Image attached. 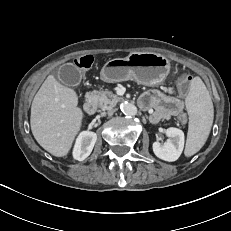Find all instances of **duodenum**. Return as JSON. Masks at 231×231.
Returning <instances> with one entry per match:
<instances>
[{
  "label": "duodenum",
  "instance_id": "410a0bca",
  "mask_svg": "<svg viewBox=\"0 0 231 231\" xmlns=\"http://www.w3.org/2000/svg\"><path fill=\"white\" fill-rule=\"evenodd\" d=\"M83 109L87 114H94L97 110L96 100L92 96L87 97L83 104Z\"/></svg>",
  "mask_w": 231,
  "mask_h": 231
}]
</instances>
